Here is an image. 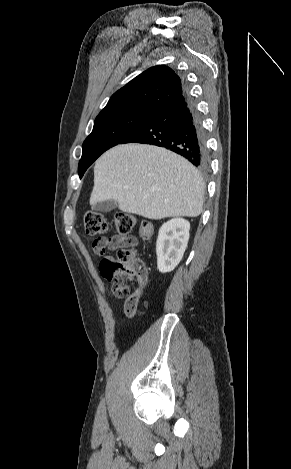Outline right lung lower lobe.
<instances>
[{
  "instance_id": "right-lung-lower-lobe-1",
  "label": "right lung lower lobe",
  "mask_w": 291,
  "mask_h": 469,
  "mask_svg": "<svg viewBox=\"0 0 291 469\" xmlns=\"http://www.w3.org/2000/svg\"><path fill=\"white\" fill-rule=\"evenodd\" d=\"M183 87L182 94L161 106L119 144L137 142L165 147L206 169L205 132L185 81Z\"/></svg>"
}]
</instances>
